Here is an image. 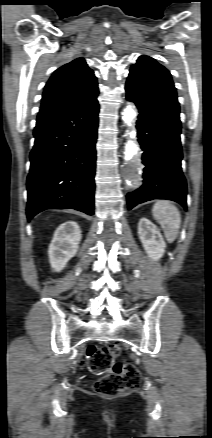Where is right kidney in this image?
I'll use <instances>...</instances> for the list:
<instances>
[{
    "label": "right kidney",
    "mask_w": 212,
    "mask_h": 438,
    "mask_svg": "<svg viewBox=\"0 0 212 438\" xmlns=\"http://www.w3.org/2000/svg\"><path fill=\"white\" fill-rule=\"evenodd\" d=\"M81 238L80 227L74 221H67L56 229L48 249L49 262L55 271H61L75 256Z\"/></svg>",
    "instance_id": "right-kidney-1"
}]
</instances>
